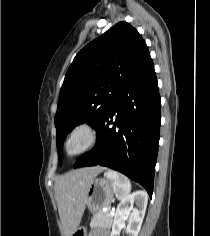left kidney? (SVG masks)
<instances>
[{
    "label": "left kidney",
    "mask_w": 210,
    "mask_h": 236,
    "mask_svg": "<svg viewBox=\"0 0 210 236\" xmlns=\"http://www.w3.org/2000/svg\"><path fill=\"white\" fill-rule=\"evenodd\" d=\"M148 195L144 191H136L125 197L117 206L111 236H119L120 230L125 228V220L129 217L126 227L128 236H138L147 207ZM134 202L139 208H134Z\"/></svg>",
    "instance_id": "left-kidney-1"
}]
</instances>
